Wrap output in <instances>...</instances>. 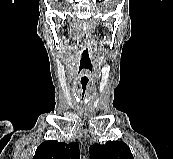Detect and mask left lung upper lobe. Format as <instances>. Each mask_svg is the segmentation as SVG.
<instances>
[{
	"instance_id": "1",
	"label": "left lung upper lobe",
	"mask_w": 173,
	"mask_h": 159,
	"mask_svg": "<svg viewBox=\"0 0 173 159\" xmlns=\"http://www.w3.org/2000/svg\"><path fill=\"white\" fill-rule=\"evenodd\" d=\"M90 159H134L130 148L122 141L90 146Z\"/></svg>"
}]
</instances>
